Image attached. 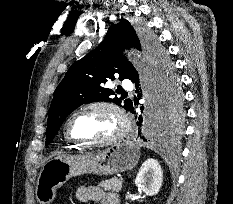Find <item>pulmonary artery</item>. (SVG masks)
<instances>
[{
	"instance_id": "e3ab8cb5",
	"label": "pulmonary artery",
	"mask_w": 233,
	"mask_h": 204,
	"mask_svg": "<svg viewBox=\"0 0 233 204\" xmlns=\"http://www.w3.org/2000/svg\"><path fill=\"white\" fill-rule=\"evenodd\" d=\"M122 86L125 88V89H132V82L128 79H125L122 81Z\"/></svg>"
}]
</instances>
